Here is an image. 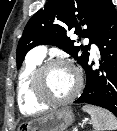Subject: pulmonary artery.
<instances>
[{"instance_id": "e3ab8cb5", "label": "pulmonary artery", "mask_w": 117, "mask_h": 131, "mask_svg": "<svg viewBox=\"0 0 117 131\" xmlns=\"http://www.w3.org/2000/svg\"><path fill=\"white\" fill-rule=\"evenodd\" d=\"M91 51L92 53L95 55L98 52V48L95 45L91 46ZM46 50L44 47H37L35 49H33L30 53H29V58H39V59H43L45 56Z\"/></svg>"}]
</instances>
